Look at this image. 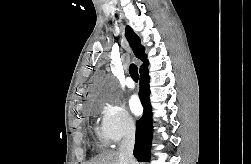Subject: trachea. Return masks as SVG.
<instances>
[{
	"instance_id": "obj_1",
	"label": "trachea",
	"mask_w": 251,
	"mask_h": 164,
	"mask_svg": "<svg viewBox=\"0 0 251 164\" xmlns=\"http://www.w3.org/2000/svg\"><path fill=\"white\" fill-rule=\"evenodd\" d=\"M129 73L134 81H138L139 79L138 68L135 64H131L129 66Z\"/></svg>"
}]
</instances>
